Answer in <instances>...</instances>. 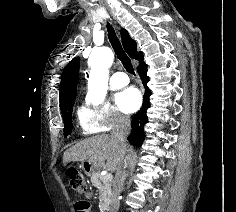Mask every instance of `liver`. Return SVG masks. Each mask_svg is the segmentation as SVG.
<instances>
[{
  "instance_id": "obj_1",
  "label": "liver",
  "mask_w": 236,
  "mask_h": 212,
  "mask_svg": "<svg viewBox=\"0 0 236 212\" xmlns=\"http://www.w3.org/2000/svg\"><path fill=\"white\" fill-rule=\"evenodd\" d=\"M124 147L112 135H97L80 141L63 155L64 166L71 161H90L98 168L117 171L124 156ZM128 146H126V152ZM107 161L104 164V161Z\"/></svg>"
}]
</instances>
